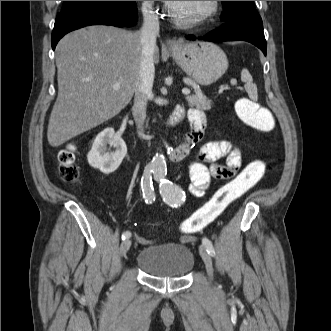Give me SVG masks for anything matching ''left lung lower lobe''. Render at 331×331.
<instances>
[{
    "instance_id": "left-lung-lower-lobe-1",
    "label": "left lung lower lobe",
    "mask_w": 331,
    "mask_h": 331,
    "mask_svg": "<svg viewBox=\"0 0 331 331\" xmlns=\"http://www.w3.org/2000/svg\"><path fill=\"white\" fill-rule=\"evenodd\" d=\"M189 40L206 41H247L266 55V40L263 32V23L259 15L241 17L224 22L219 28L207 34L205 37H195L188 35Z\"/></svg>"
}]
</instances>
